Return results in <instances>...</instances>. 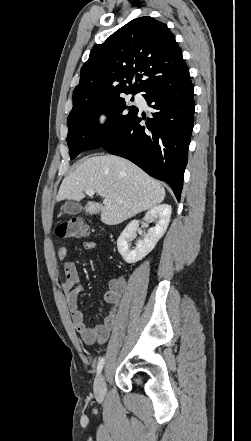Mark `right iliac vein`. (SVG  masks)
<instances>
[{
  "instance_id": "right-iliac-vein-1",
  "label": "right iliac vein",
  "mask_w": 251,
  "mask_h": 441,
  "mask_svg": "<svg viewBox=\"0 0 251 441\" xmlns=\"http://www.w3.org/2000/svg\"><path fill=\"white\" fill-rule=\"evenodd\" d=\"M106 383L104 374H100L94 382V393L98 399H103L105 395Z\"/></svg>"
}]
</instances>
